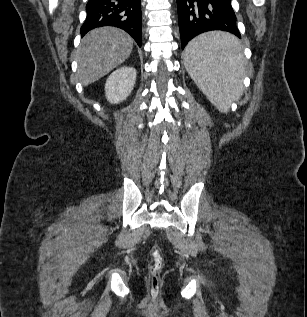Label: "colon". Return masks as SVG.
<instances>
[{
  "instance_id": "5ec220e1",
  "label": "colon",
  "mask_w": 307,
  "mask_h": 317,
  "mask_svg": "<svg viewBox=\"0 0 307 317\" xmlns=\"http://www.w3.org/2000/svg\"><path fill=\"white\" fill-rule=\"evenodd\" d=\"M163 267V256L159 246L155 245L151 249V262L149 265V280L151 290L154 293L158 292L160 285V275Z\"/></svg>"
}]
</instances>
